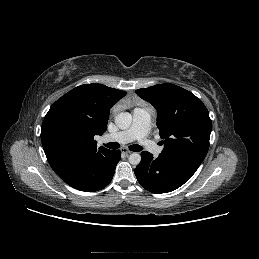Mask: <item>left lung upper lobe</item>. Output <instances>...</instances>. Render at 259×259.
Listing matches in <instances>:
<instances>
[{
  "label": "left lung upper lobe",
  "mask_w": 259,
  "mask_h": 259,
  "mask_svg": "<svg viewBox=\"0 0 259 259\" xmlns=\"http://www.w3.org/2000/svg\"><path fill=\"white\" fill-rule=\"evenodd\" d=\"M136 93L157 110V127L164 143L162 154L202 163L212 130L203 102L191 92L170 83L138 89Z\"/></svg>",
  "instance_id": "1"
}]
</instances>
